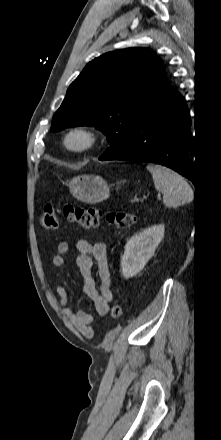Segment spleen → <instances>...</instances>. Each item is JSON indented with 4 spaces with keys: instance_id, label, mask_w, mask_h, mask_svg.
Returning <instances> with one entry per match:
<instances>
[{
    "instance_id": "3e777b00",
    "label": "spleen",
    "mask_w": 221,
    "mask_h": 440,
    "mask_svg": "<svg viewBox=\"0 0 221 440\" xmlns=\"http://www.w3.org/2000/svg\"><path fill=\"white\" fill-rule=\"evenodd\" d=\"M152 174L155 189L163 193L166 207H178L193 199V190L188 182L175 171L161 165H147Z\"/></svg>"
}]
</instances>
